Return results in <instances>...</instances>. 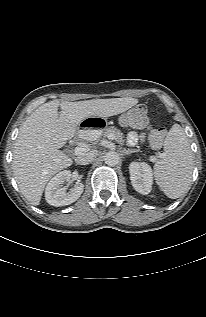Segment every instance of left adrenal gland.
<instances>
[{
  "mask_svg": "<svg viewBox=\"0 0 206 317\" xmlns=\"http://www.w3.org/2000/svg\"><path fill=\"white\" fill-rule=\"evenodd\" d=\"M133 152H135V150H131V149H123V153L125 154V155H129V154H131V153H133Z\"/></svg>",
  "mask_w": 206,
  "mask_h": 317,
  "instance_id": "obj_1",
  "label": "left adrenal gland"
}]
</instances>
